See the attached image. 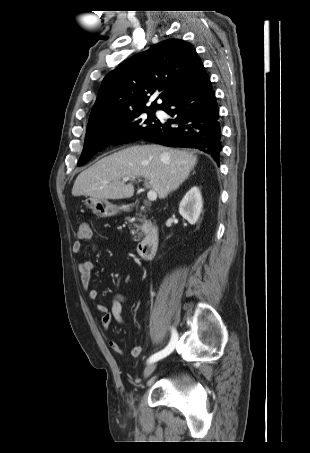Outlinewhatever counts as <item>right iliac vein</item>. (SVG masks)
<instances>
[{
  "label": "right iliac vein",
  "mask_w": 310,
  "mask_h": 453,
  "mask_svg": "<svg viewBox=\"0 0 310 453\" xmlns=\"http://www.w3.org/2000/svg\"><path fill=\"white\" fill-rule=\"evenodd\" d=\"M156 369V363H151V364H148L145 369H144V372H143V376L144 378H148Z\"/></svg>",
  "instance_id": "63e3f726"
}]
</instances>
